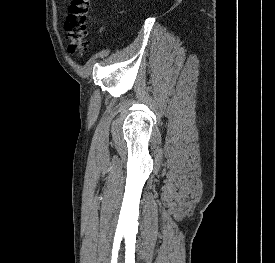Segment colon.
<instances>
[{"label":"colon","instance_id":"obj_1","mask_svg":"<svg viewBox=\"0 0 275 263\" xmlns=\"http://www.w3.org/2000/svg\"><path fill=\"white\" fill-rule=\"evenodd\" d=\"M92 21L91 0H71L65 30L71 55L82 56L88 48V30Z\"/></svg>","mask_w":275,"mask_h":263}]
</instances>
